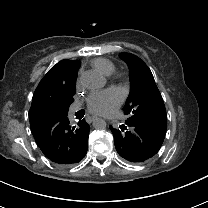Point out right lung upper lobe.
<instances>
[{
    "instance_id": "right-lung-upper-lobe-1",
    "label": "right lung upper lobe",
    "mask_w": 208,
    "mask_h": 208,
    "mask_svg": "<svg viewBox=\"0 0 208 208\" xmlns=\"http://www.w3.org/2000/svg\"><path fill=\"white\" fill-rule=\"evenodd\" d=\"M79 66V61L72 60H61L54 65L36 88L29 112L44 111L41 109L42 103L75 85Z\"/></svg>"
}]
</instances>
